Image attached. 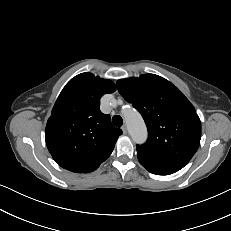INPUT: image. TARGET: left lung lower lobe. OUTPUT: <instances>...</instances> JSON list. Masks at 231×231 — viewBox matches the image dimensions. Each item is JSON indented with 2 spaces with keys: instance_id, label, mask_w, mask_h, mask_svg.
<instances>
[{
  "instance_id": "1",
  "label": "left lung lower lobe",
  "mask_w": 231,
  "mask_h": 231,
  "mask_svg": "<svg viewBox=\"0 0 231 231\" xmlns=\"http://www.w3.org/2000/svg\"><path fill=\"white\" fill-rule=\"evenodd\" d=\"M139 162L141 163V165H143L149 172L156 174V175H170L173 174L175 172H177L178 170H174V169H169V168H164V167H160V166H156L150 163H147L145 161L139 160Z\"/></svg>"
}]
</instances>
